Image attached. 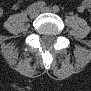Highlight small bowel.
I'll return each mask as SVG.
<instances>
[{"mask_svg":"<svg viewBox=\"0 0 91 91\" xmlns=\"http://www.w3.org/2000/svg\"><path fill=\"white\" fill-rule=\"evenodd\" d=\"M90 5H91L90 1L84 0V1H82V2L79 4L78 10H79L80 12H83V11L89 9V8H90ZM16 7H17V6H15V8H16Z\"/></svg>","mask_w":91,"mask_h":91,"instance_id":"1","label":"small bowel"}]
</instances>
